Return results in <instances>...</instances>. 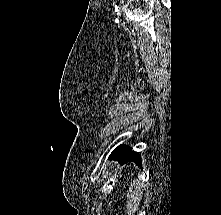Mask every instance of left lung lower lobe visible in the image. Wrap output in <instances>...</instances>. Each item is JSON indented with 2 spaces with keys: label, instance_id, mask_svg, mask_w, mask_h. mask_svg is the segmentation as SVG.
Instances as JSON below:
<instances>
[{
  "label": "left lung lower lobe",
  "instance_id": "obj_1",
  "mask_svg": "<svg viewBox=\"0 0 221 215\" xmlns=\"http://www.w3.org/2000/svg\"><path fill=\"white\" fill-rule=\"evenodd\" d=\"M110 157L119 160L121 164L128 161H133L136 164L141 165L140 155L137 152L132 151V148L125 145H119L117 148H115Z\"/></svg>",
  "mask_w": 221,
  "mask_h": 215
}]
</instances>
